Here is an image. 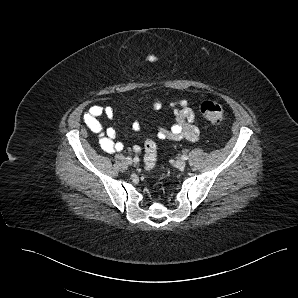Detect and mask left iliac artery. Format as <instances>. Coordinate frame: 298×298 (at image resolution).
Listing matches in <instances>:
<instances>
[{"label":"left iliac artery","instance_id":"obj_1","mask_svg":"<svg viewBox=\"0 0 298 298\" xmlns=\"http://www.w3.org/2000/svg\"><path fill=\"white\" fill-rule=\"evenodd\" d=\"M181 159H182V160H188V156H187V155H182V156H181Z\"/></svg>","mask_w":298,"mask_h":298}]
</instances>
